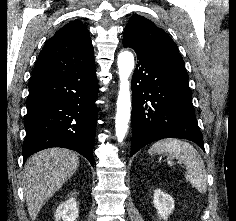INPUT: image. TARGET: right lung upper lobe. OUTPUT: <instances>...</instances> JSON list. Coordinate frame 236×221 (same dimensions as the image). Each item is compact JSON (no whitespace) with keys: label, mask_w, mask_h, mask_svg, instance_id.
I'll return each mask as SVG.
<instances>
[{"label":"right lung upper lobe","mask_w":236,"mask_h":221,"mask_svg":"<svg viewBox=\"0 0 236 221\" xmlns=\"http://www.w3.org/2000/svg\"><path fill=\"white\" fill-rule=\"evenodd\" d=\"M95 68L89 31L79 20L60 28L40 52L29 83Z\"/></svg>","instance_id":"right-lung-upper-lobe-1"}]
</instances>
